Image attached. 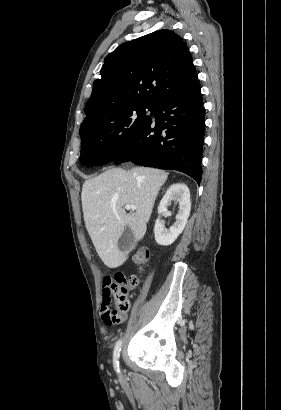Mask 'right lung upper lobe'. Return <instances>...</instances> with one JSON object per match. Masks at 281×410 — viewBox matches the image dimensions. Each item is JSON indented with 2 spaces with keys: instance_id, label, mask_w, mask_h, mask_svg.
Masks as SVG:
<instances>
[{
  "instance_id": "1",
  "label": "right lung upper lobe",
  "mask_w": 281,
  "mask_h": 410,
  "mask_svg": "<svg viewBox=\"0 0 281 410\" xmlns=\"http://www.w3.org/2000/svg\"><path fill=\"white\" fill-rule=\"evenodd\" d=\"M85 107L83 123L125 106H153L198 82L191 54L181 37L159 30L126 42L109 54Z\"/></svg>"
}]
</instances>
